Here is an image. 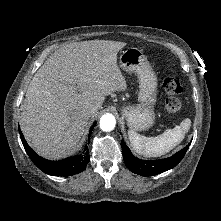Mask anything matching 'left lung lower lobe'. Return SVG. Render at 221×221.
<instances>
[{
	"label": "left lung lower lobe",
	"mask_w": 221,
	"mask_h": 221,
	"mask_svg": "<svg viewBox=\"0 0 221 221\" xmlns=\"http://www.w3.org/2000/svg\"><path fill=\"white\" fill-rule=\"evenodd\" d=\"M189 146L190 143L185 148L169 158L148 161L134 157L125 142H121L123 158L127 168L133 173L142 176L157 175L172 169L182 160Z\"/></svg>",
	"instance_id": "0a47b994"
}]
</instances>
